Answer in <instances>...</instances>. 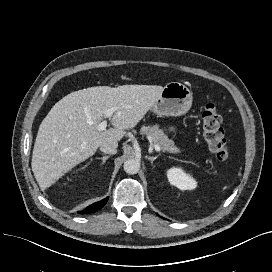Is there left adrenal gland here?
Masks as SVG:
<instances>
[{
	"instance_id": "obj_1",
	"label": "left adrenal gland",
	"mask_w": 272,
	"mask_h": 272,
	"mask_svg": "<svg viewBox=\"0 0 272 272\" xmlns=\"http://www.w3.org/2000/svg\"><path fill=\"white\" fill-rule=\"evenodd\" d=\"M159 156H160V154H158V155H156V156H154V157L149 156V157H147V159L150 160V161H151V164H152L153 161L156 160Z\"/></svg>"
}]
</instances>
